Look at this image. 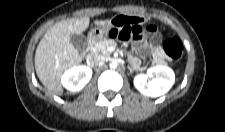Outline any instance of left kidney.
Masks as SVG:
<instances>
[{
    "instance_id": "1",
    "label": "left kidney",
    "mask_w": 225,
    "mask_h": 132,
    "mask_svg": "<svg viewBox=\"0 0 225 132\" xmlns=\"http://www.w3.org/2000/svg\"><path fill=\"white\" fill-rule=\"evenodd\" d=\"M175 82L173 70L167 66H154L146 74H139L134 78V86L143 95L159 97L170 90Z\"/></svg>"
}]
</instances>
